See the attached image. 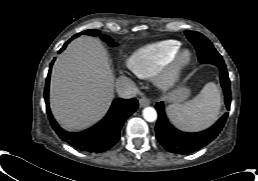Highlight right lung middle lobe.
<instances>
[{"label":"right lung middle lobe","instance_id":"1","mask_svg":"<svg viewBox=\"0 0 258 181\" xmlns=\"http://www.w3.org/2000/svg\"><path fill=\"white\" fill-rule=\"evenodd\" d=\"M81 34H86V35H90V36H96V35H99L100 38L105 41L110 47H115L117 46V43H114L113 42V39L110 38L109 36H106L104 34H100V31L99 30H95V29H92V30H85L79 34H76L75 36H73V38L81 35Z\"/></svg>","mask_w":258,"mask_h":181}]
</instances>
